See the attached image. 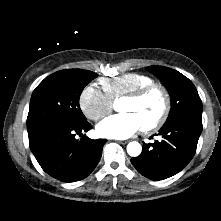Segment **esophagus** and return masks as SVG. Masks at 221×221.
Wrapping results in <instances>:
<instances>
[{
  "label": "esophagus",
  "mask_w": 221,
  "mask_h": 221,
  "mask_svg": "<svg viewBox=\"0 0 221 221\" xmlns=\"http://www.w3.org/2000/svg\"><path fill=\"white\" fill-rule=\"evenodd\" d=\"M117 142L120 143V144H127L128 143L127 140H118Z\"/></svg>",
  "instance_id": "1"
}]
</instances>
